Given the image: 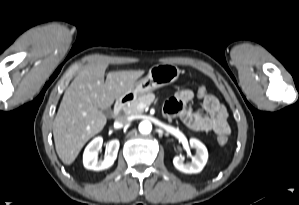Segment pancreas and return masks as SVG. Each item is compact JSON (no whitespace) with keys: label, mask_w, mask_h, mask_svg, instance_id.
Instances as JSON below:
<instances>
[{"label":"pancreas","mask_w":299,"mask_h":205,"mask_svg":"<svg viewBox=\"0 0 299 205\" xmlns=\"http://www.w3.org/2000/svg\"><path fill=\"white\" fill-rule=\"evenodd\" d=\"M155 100V95L153 93H148L141 95L138 98L131 101L126 105L123 110L126 115H135L143 112V109L139 107L140 104L146 107Z\"/></svg>","instance_id":"pancreas-1"}]
</instances>
